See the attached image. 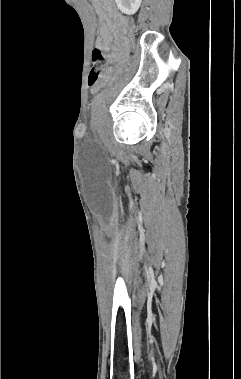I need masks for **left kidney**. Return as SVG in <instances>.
Returning <instances> with one entry per match:
<instances>
[{"instance_id":"1","label":"left kidney","mask_w":241,"mask_h":379,"mask_svg":"<svg viewBox=\"0 0 241 379\" xmlns=\"http://www.w3.org/2000/svg\"><path fill=\"white\" fill-rule=\"evenodd\" d=\"M142 0H115L121 12L132 15L137 12Z\"/></svg>"}]
</instances>
